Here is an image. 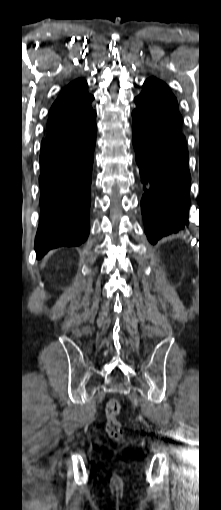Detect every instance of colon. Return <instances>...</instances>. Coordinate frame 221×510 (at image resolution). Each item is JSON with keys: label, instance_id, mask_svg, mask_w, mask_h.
<instances>
[{"label": "colon", "instance_id": "colon-1", "mask_svg": "<svg viewBox=\"0 0 221 510\" xmlns=\"http://www.w3.org/2000/svg\"><path fill=\"white\" fill-rule=\"evenodd\" d=\"M121 410V404L117 399H111L107 402L106 413V431L113 439H120L123 435V428L118 415Z\"/></svg>", "mask_w": 221, "mask_h": 510}]
</instances>
